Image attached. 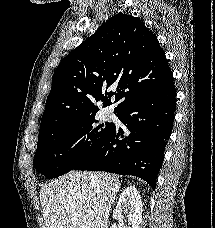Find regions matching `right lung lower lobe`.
Masks as SVG:
<instances>
[{"label":"right lung lower lobe","mask_w":215,"mask_h":228,"mask_svg":"<svg viewBox=\"0 0 215 228\" xmlns=\"http://www.w3.org/2000/svg\"><path fill=\"white\" fill-rule=\"evenodd\" d=\"M175 110L173 75L140 84L134 97L117 111V117L130 131L129 136L114 126L110 135L73 170L138 176L155 189Z\"/></svg>","instance_id":"right-lung-lower-lobe-1"}]
</instances>
